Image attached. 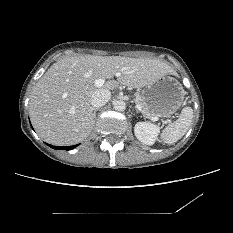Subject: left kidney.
<instances>
[{"label": "left kidney", "instance_id": "left-kidney-1", "mask_svg": "<svg viewBox=\"0 0 233 233\" xmlns=\"http://www.w3.org/2000/svg\"><path fill=\"white\" fill-rule=\"evenodd\" d=\"M159 131V126L149 122H138L134 127L136 138L146 145L155 143Z\"/></svg>", "mask_w": 233, "mask_h": 233}]
</instances>
